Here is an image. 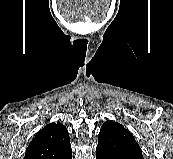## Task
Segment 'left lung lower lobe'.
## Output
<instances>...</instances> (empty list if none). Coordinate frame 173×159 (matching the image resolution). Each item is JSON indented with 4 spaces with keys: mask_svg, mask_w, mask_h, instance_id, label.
<instances>
[{
    "mask_svg": "<svg viewBox=\"0 0 173 159\" xmlns=\"http://www.w3.org/2000/svg\"><path fill=\"white\" fill-rule=\"evenodd\" d=\"M96 159H120V158L115 156L114 154L109 153L103 148L97 146Z\"/></svg>",
    "mask_w": 173,
    "mask_h": 159,
    "instance_id": "0a47b994",
    "label": "left lung lower lobe"
}]
</instances>
